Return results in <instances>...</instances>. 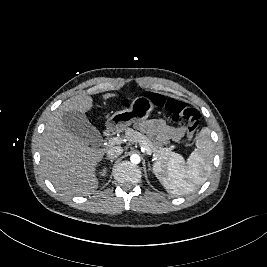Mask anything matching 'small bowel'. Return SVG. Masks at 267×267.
<instances>
[{"label": "small bowel", "instance_id": "c3829d8e", "mask_svg": "<svg viewBox=\"0 0 267 267\" xmlns=\"http://www.w3.org/2000/svg\"><path fill=\"white\" fill-rule=\"evenodd\" d=\"M138 128L160 142H177L185 133L184 127L166 126L161 120L142 121Z\"/></svg>", "mask_w": 267, "mask_h": 267}]
</instances>
